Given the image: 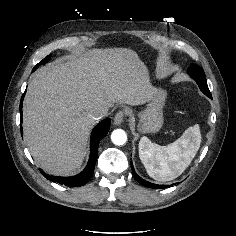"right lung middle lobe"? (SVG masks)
Wrapping results in <instances>:
<instances>
[{
    "instance_id": "right-lung-middle-lobe-1",
    "label": "right lung middle lobe",
    "mask_w": 236,
    "mask_h": 236,
    "mask_svg": "<svg viewBox=\"0 0 236 236\" xmlns=\"http://www.w3.org/2000/svg\"><path fill=\"white\" fill-rule=\"evenodd\" d=\"M50 57H51V55L46 56L40 63H38V64L35 66V68L33 69V71H34L38 66H40L41 64L48 62L49 59H50Z\"/></svg>"
}]
</instances>
